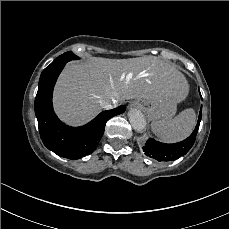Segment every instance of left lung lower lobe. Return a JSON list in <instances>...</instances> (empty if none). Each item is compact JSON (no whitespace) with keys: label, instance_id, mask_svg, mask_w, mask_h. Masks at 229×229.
<instances>
[{"label":"left lung lower lobe","instance_id":"1","mask_svg":"<svg viewBox=\"0 0 229 229\" xmlns=\"http://www.w3.org/2000/svg\"><path fill=\"white\" fill-rule=\"evenodd\" d=\"M201 110L202 107L200 109L197 125L188 138L174 144H165L157 142L154 139H148L145 146L143 147L145 154L149 157L155 158L158 161H173L186 154L196 140V135L202 116Z\"/></svg>","mask_w":229,"mask_h":229}]
</instances>
